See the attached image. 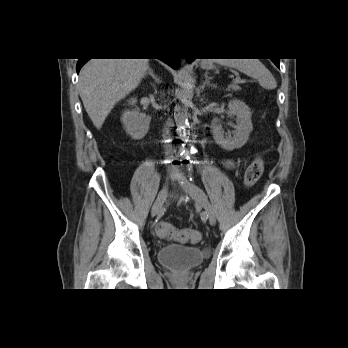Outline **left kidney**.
<instances>
[{
    "label": "left kidney",
    "instance_id": "obj_1",
    "mask_svg": "<svg viewBox=\"0 0 348 348\" xmlns=\"http://www.w3.org/2000/svg\"><path fill=\"white\" fill-rule=\"evenodd\" d=\"M228 114L236 116L233 136H226L221 124L213 127V136L217 144L227 151L241 148L248 140L253 129L249 107L241 100L233 99L228 104Z\"/></svg>",
    "mask_w": 348,
    "mask_h": 348
}]
</instances>
